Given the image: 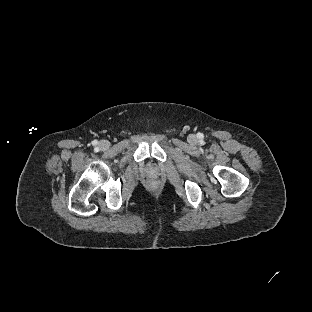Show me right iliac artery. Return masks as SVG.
<instances>
[{
  "mask_svg": "<svg viewBox=\"0 0 312 312\" xmlns=\"http://www.w3.org/2000/svg\"><path fill=\"white\" fill-rule=\"evenodd\" d=\"M93 144H94V145H96V144H97V141H96V140H95V141H93Z\"/></svg>",
  "mask_w": 312,
  "mask_h": 312,
  "instance_id": "1",
  "label": "right iliac artery"
}]
</instances>
